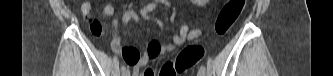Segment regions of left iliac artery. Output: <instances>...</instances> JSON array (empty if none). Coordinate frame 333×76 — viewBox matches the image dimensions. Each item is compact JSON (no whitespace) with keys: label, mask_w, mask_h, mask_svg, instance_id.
<instances>
[{"label":"left iliac artery","mask_w":333,"mask_h":76,"mask_svg":"<svg viewBox=\"0 0 333 76\" xmlns=\"http://www.w3.org/2000/svg\"><path fill=\"white\" fill-rule=\"evenodd\" d=\"M199 70L205 72V66L201 65Z\"/></svg>","instance_id":"obj_1"}]
</instances>
